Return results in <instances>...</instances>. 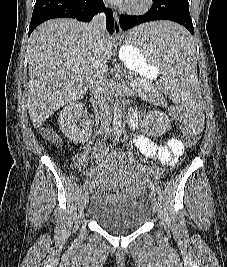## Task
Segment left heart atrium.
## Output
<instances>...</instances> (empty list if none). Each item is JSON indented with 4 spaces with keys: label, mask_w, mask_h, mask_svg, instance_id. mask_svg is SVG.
<instances>
[{
    "label": "left heart atrium",
    "mask_w": 227,
    "mask_h": 267,
    "mask_svg": "<svg viewBox=\"0 0 227 267\" xmlns=\"http://www.w3.org/2000/svg\"><path fill=\"white\" fill-rule=\"evenodd\" d=\"M111 2L117 3V4H127L132 2L133 0H109Z\"/></svg>",
    "instance_id": "left-heart-atrium-1"
}]
</instances>
